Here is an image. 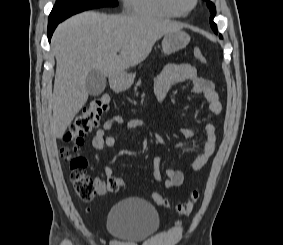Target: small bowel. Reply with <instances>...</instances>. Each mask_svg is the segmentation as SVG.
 <instances>
[{"mask_svg":"<svg viewBox=\"0 0 283 245\" xmlns=\"http://www.w3.org/2000/svg\"><path fill=\"white\" fill-rule=\"evenodd\" d=\"M181 82H189L191 84L192 92L202 97L207 102L208 110L211 113L219 114L221 112L222 106L213 83L209 79L200 77L197 74L196 68L188 63H170L162 68L154 80V92L157 100L161 103L164 102L171 87ZM121 125H125L128 130H134L145 127L146 122L138 118L125 121L123 117L119 115L112 116L96 131L91 141L93 148L104 150L113 147L116 140L113 136H108L107 133L115 126ZM180 132L187 139H193L195 137L194 132L188 128H181ZM215 148V126L212 123H207L204 126L202 151L192 158L189 164L188 173H194L201 170L214 154ZM159 164V157H155L153 159V177L156 181L163 182L167 188H175L184 183L186 173L169 168L166 170V178H164L160 171ZM104 173L108 179L113 177V169L111 167H105ZM95 182L97 194L105 195L106 182L100 179H96Z\"/></svg>","mask_w":283,"mask_h":245,"instance_id":"small-bowel-1","label":"small bowel"}]
</instances>
